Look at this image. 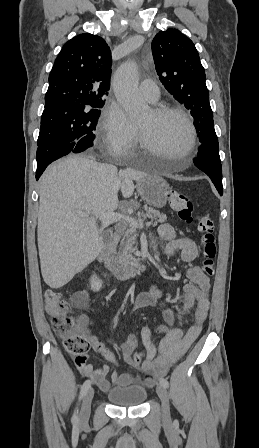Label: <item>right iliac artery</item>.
Here are the masks:
<instances>
[{
	"mask_svg": "<svg viewBox=\"0 0 259 448\" xmlns=\"http://www.w3.org/2000/svg\"><path fill=\"white\" fill-rule=\"evenodd\" d=\"M90 386H91V381L90 380H86L84 383H83V385H82V387H81V391H80V397H79V399L81 400L83 397H84V395L86 394V392L88 391V389L90 388ZM72 421L74 422V423H78V421H79V418H78V413L75 411V413H74V415H73V417H72Z\"/></svg>",
	"mask_w": 259,
	"mask_h": 448,
	"instance_id": "82829eb1",
	"label": "right iliac artery"
}]
</instances>
